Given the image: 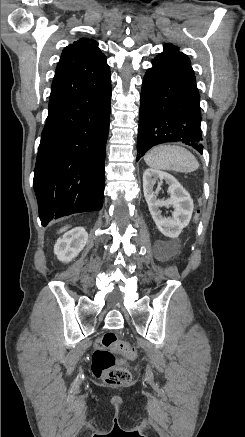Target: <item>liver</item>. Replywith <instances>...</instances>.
I'll return each mask as SVG.
<instances>
[{
  "label": "liver",
  "instance_id": "6515ba94",
  "mask_svg": "<svg viewBox=\"0 0 245 437\" xmlns=\"http://www.w3.org/2000/svg\"><path fill=\"white\" fill-rule=\"evenodd\" d=\"M67 228H68V227H64V228H62V229L60 230V232L65 231Z\"/></svg>",
  "mask_w": 245,
  "mask_h": 437
}]
</instances>
